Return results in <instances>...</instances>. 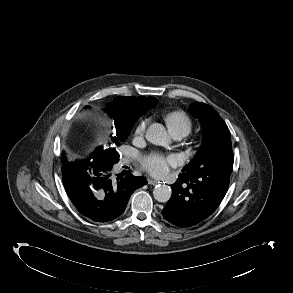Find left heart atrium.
I'll list each match as a JSON object with an SVG mask.
<instances>
[{
	"mask_svg": "<svg viewBox=\"0 0 293 293\" xmlns=\"http://www.w3.org/2000/svg\"><path fill=\"white\" fill-rule=\"evenodd\" d=\"M174 163V158L162 154H152L142 160L143 168L156 177L165 176L169 167Z\"/></svg>",
	"mask_w": 293,
	"mask_h": 293,
	"instance_id": "1",
	"label": "left heart atrium"
}]
</instances>
